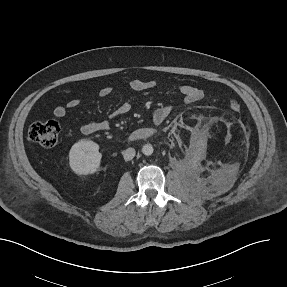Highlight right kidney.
Listing matches in <instances>:
<instances>
[{
	"instance_id": "1",
	"label": "right kidney",
	"mask_w": 287,
	"mask_h": 287,
	"mask_svg": "<svg viewBox=\"0 0 287 287\" xmlns=\"http://www.w3.org/2000/svg\"><path fill=\"white\" fill-rule=\"evenodd\" d=\"M99 145L90 140H80L75 143L69 152V165L79 175L95 173L101 162Z\"/></svg>"
}]
</instances>
